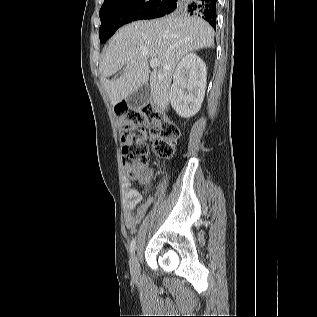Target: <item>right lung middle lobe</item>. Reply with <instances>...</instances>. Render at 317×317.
Instances as JSON below:
<instances>
[{
  "instance_id": "1",
  "label": "right lung middle lobe",
  "mask_w": 317,
  "mask_h": 317,
  "mask_svg": "<svg viewBox=\"0 0 317 317\" xmlns=\"http://www.w3.org/2000/svg\"><path fill=\"white\" fill-rule=\"evenodd\" d=\"M167 0H104L100 9V42H105L115 31L129 22L147 19L151 12L166 4ZM185 0H178L162 16L184 10ZM158 18V17H157Z\"/></svg>"
}]
</instances>
